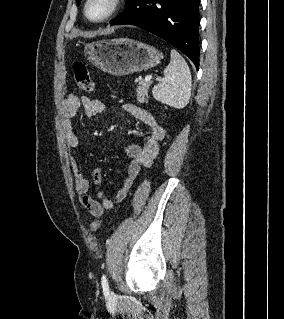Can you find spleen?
I'll return each instance as SVG.
<instances>
[{"label": "spleen", "mask_w": 284, "mask_h": 319, "mask_svg": "<svg viewBox=\"0 0 284 319\" xmlns=\"http://www.w3.org/2000/svg\"><path fill=\"white\" fill-rule=\"evenodd\" d=\"M170 55L164 78L154 86L152 94L157 101L181 109L188 104L191 96V73L186 61L176 50H171Z\"/></svg>", "instance_id": "spleen-1"}]
</instances>
